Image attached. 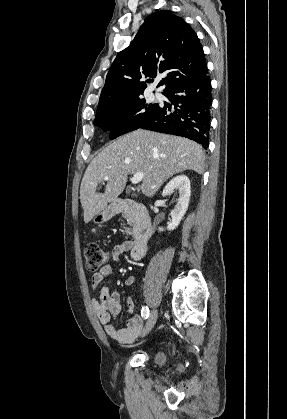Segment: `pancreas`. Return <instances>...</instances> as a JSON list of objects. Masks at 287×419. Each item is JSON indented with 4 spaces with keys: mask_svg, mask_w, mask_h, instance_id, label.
<instances>
[{
    "mask_svg": "<svg viewBox=\"0 0 287 419\" xmlns=\"http://www.w3.org/2000/svg\"><path fill=\"white\" fill-rule=\"evenodd\" d=\"M125 218H126L127 223H128L129 225H132V224H133L132 220L130 219V217H129L128 215H126V216H125ZM124 229H125V232H126V233H129V228H124Z\"/></svg>",
    "mask_w": 287,
    "mask_h": 419,
    "instance_id": "1",
    "label": "pancreas"
}]
</instances>
